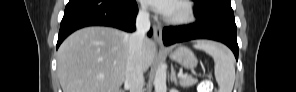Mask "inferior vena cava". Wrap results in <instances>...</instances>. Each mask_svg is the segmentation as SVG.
I'll return each instance as SVG.
<instances>
[{"instance_id":"1","label":"inferior vena cava","mask_w":296,"mask_h":92,"mask_svg":"<svg viewBox=\"0 0 296 92\" xmlns=\"http://www.w3.org/2000/svg\"><path fill=\"white\" fill-rule=\"evenodd\" d=\"M150 29L149 13L142 7L136 18V31L129 37V54L126 64L125 84L130 92H143V57L142 49L146 32Z\"/></svg>"}]
</instances>
